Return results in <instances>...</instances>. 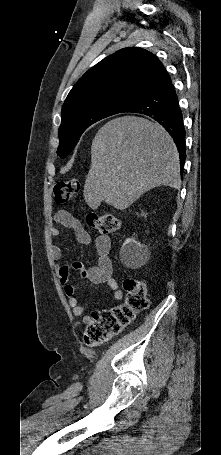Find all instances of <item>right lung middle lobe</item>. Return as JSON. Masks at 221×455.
<instances>
[{
	"label": "right lung middle lobe",
	"mask_w": 221,
	"mask_h": 455,
	"mask_svg": "<svg viewBox=\"0 0 221 455\" xmlns=\"http://www.w3.org/2000/svg\"><path fill=\"white\" fill-rule=\"evenodd\" d=\"M125 107L115 102H98L76 108L62 115L57 155L64 158L78 143L82 133L93 123L122 113Z\"/></svg>",
	"instance_id": "obj_1"
}]
</instances>
